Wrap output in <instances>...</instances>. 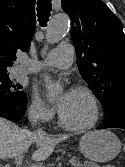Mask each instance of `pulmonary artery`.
<instances>
[{
	"label": "pulmonary artery",
	"instance_id": "pulmonary-artery-1",
	"mask_svg": "<svg viewBox=\"0 0 125 167\" xmlns=\"http://www.w3.org/2000/svg\"><path fill=\"white\" fill-rule=\"evenodd\" d=\"M74 60L73 47L69 43H61L56 49L49 52L42 60L32 62L24 60L19 66L22 73H35L43 69H67Z\"/></svg>",
	"mask_w": 125,
	"mask_h": 167
}]
</instances>
